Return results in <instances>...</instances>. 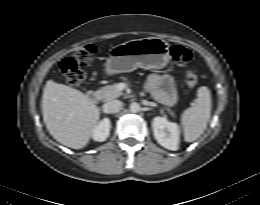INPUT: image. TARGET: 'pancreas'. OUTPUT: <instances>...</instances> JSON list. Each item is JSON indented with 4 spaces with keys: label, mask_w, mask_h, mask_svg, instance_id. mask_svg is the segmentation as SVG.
<instances>
[{
    "label": "pancreas",
    "mask_w": 260,
    "mask_h": 205,
    "mask_svg": "<svg viewBox=\"0 0 260 205\" xmlns=\"http://www.w3.org/2000/svg\"><path fill=\"white\" fill-rule=\"evenodd\" d=\"M98 95L99 98L103 101H109L120 97L121 95H123V93L117 88V84H112L102 87L98 91ZM167 110L171 114V116L174 117V113L169 108H167Z\"/></svg>",
    "instance_id": "pancreas-1"
}]
</instances>
